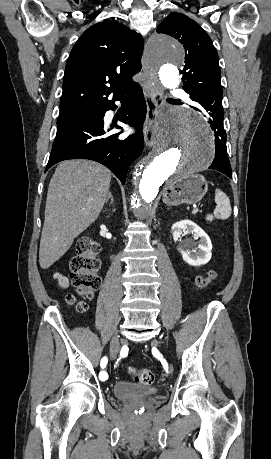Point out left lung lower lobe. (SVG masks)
<instances>
[{
  "mask_svg": "<svg viewBox=\"0 0 271 459\" xmlns=\"http://www.w3.org/2000/svg\"><path fill=\"white\" fill-rule=\"evenodd\" d=\"M190 98L193 101L198 102L203 107L204 111L206 112V115L208 116V123L212 127L215 134V160L209 166V169H216L232 178L231 166L227 156V134L223 128L224 113L206 108V94L200 95L195 98ZM198 111L201 112V110Z\"/></svg>",
  "mask_w": 271,
  "mask_h": 459,
  "instance_id": "0a47b994",
  "label": "left lung lower lobe"
}]
</instances>
